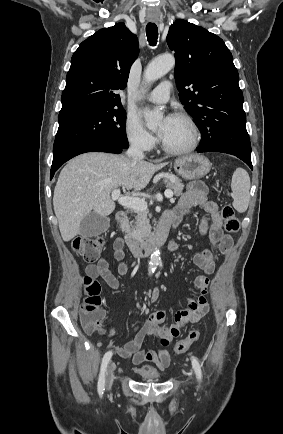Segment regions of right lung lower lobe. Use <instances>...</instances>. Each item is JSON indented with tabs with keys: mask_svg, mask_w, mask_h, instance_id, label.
<instances>
[{
	"mask_svg": "<svg viewBox=\"0 0 283 434\" xmlns=\"http://www.w3.org/2000/svg\"><path fill=\"white\" fill-rule=\"evenodd\" d=\"M123 149L124 148L121 146L108 141H91L75 145L65 152L53 157L50 179L53 178L55 172L62 166V164L79 154L86 152L121 153Z\"/></svg>",
	"mask_w": 283,
	"mask_h": 434,
	"instance_id": "1",
	"label": "right lung lower lobe"
}]
</instances>
